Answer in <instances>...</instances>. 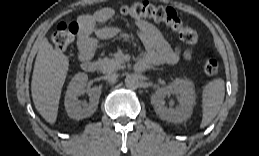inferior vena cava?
<instances>
[{
	"label": "inferior vena cava",
	"mask_w": 259,
	"mask_h": 156,
	"mask_svg": "<svg viewBox=\"0 0 259 156\" xmlns=\"http://www.w3.org/2000/svg\"><path fill=\"white\" fill-rule=\"evenodd\" d=\"M117 78H118V74H116V73H110V74H107V75L105 76V79H106L107 81H110V82L116 81Z\"/></svg>",
	"instance_id": "obj_1"
}]
</instances>
